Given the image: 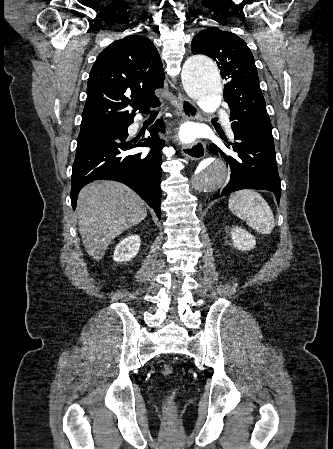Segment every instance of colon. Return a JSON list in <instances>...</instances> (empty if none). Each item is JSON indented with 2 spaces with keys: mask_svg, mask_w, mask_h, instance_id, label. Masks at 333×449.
<instances>
[{
  "mask_svg": "<svg viewBox=\"0 0 333 449\" xmlns=\"http://www.w3.org/2000/svg\"><path fill=\"white\" fill-rule=\"evenodd\" d=\"M162 374L165 377H171L174 374V369L171 365H164L162 368ZM166 405L168 408H172L174 405V398L173 396H169L166 400Z\"/></svg>",
  "mask_w": 333,
  "mask_h": 449,
  "instance_id": "1",
  "label": "colon"
}]
</instances>
